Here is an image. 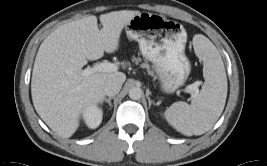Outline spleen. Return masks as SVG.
<instances>
[{
    "label": "spleen",
    "instance_id": "3e777b00",
    "mask_svg": "<svg viewBox=\"0 0 267 166\" xmlns=\"http://www.w3.org/2000/svg\"><path fill=\"white\" fill-rule=\"evenodd\" d=\"M197 56L204 62L205 82L195 100L173 103L165 113L167 121L186 135H202L210 130L223 112L227 97V77L221 55L204 36L193 40Z\"/></svg>",
    "mask_w": 267,
    "mask_h": 166
}]
</instances>
